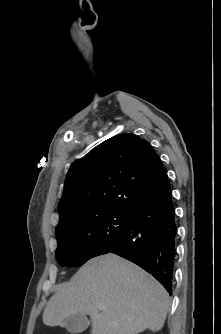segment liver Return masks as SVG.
I'll use <instances>...</instances> for the list:
<instances>
[{
	"instance_id": "1",
	"label": "liver",
	"mask_w": 221,
	"mask_h": 334,
	"mask_svg": "<svg viewBox=\"0 0 221 334\" xmlns=\"http://www.w3.org/2000/svg\"><path fill=\"white\" fill-rule=\"evenodd\" d=\"M168 308L169 295L158 281L136 264L109 253L84 264L49 299L42 319L47 326H65L69 316L86 314L91 334H138L159 331Z\"/></svg>"
}]
</instances>
